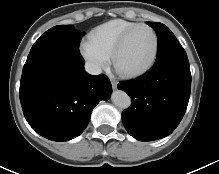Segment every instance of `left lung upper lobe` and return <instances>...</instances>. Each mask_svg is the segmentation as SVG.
<instances>
[{"label":"left lung upper lobe","mask_w":219,"mask_h":174,"mask_svg":"<svg viewBox=\"0 0 219 174\" xmlns=\"http://www.w3.org/2000/svg\"><path fill=\"white\" fill-rule=\"evenodd\" d=\"M157 33L158 50L156 61L171 55H187L171 30L162 23L146 22Z\"/></svg>","instance_id":"1"}]
</instances>
